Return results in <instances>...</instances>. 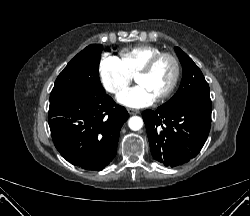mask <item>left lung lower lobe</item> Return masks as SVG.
Segmentation results:
<instances>
[{"instance_id": "left-lung-lower-lobe-1", "label": "left lung lower lobe", "mask_w": 250, "mask_h": 216, "mask_svg": "<svg viewBox=\"0 0 250 216\" xmlns=\"http://www.w3.org/2000/svg\"><path fill=\"white\" fill-rule=\"evenodd\" d=\"M212 105L190 102L180 106L143 112L152 156L175 167L196 157L211 126Z\"/></svg>"}]
</instances>
